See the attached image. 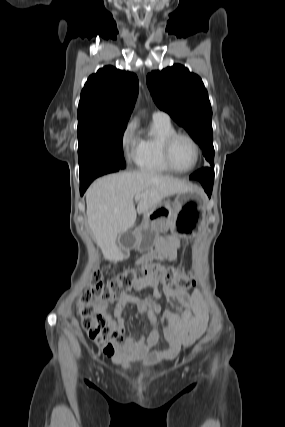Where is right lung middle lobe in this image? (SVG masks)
<instances>
[{
    "instance_id": "1",
    "label": "right lung middle lobe",
    "mask_w": 285,
    "mask_h": 427,
    "mask_svg": "<svg viewBox=\"0 0 285 427\" xmlns=\"http://www.w3.org/2000/svg\"><path fill=\"white\" fill-rule=\"evenodd\" d=\"M127 121L83 119L78 121L80 177L103 167L125 168L122 137Z\"/></svg>"
}]
</instances>
